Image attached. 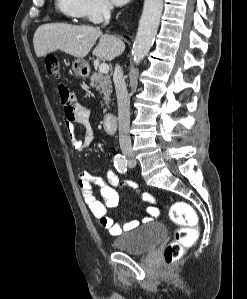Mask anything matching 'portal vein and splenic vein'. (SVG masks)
Masks as SVG:
<instances>
[{"instance_id":"obj_1","label":"portal vein and splenic vein","mask_w":247,"mask_h":299,"mask_svg":"<svg viewBox=\"0 0 247 299\" xmlns=\"http://www.w3.org/2000/svg\"><path fill=\"white\" fill-rule=\"evenodd\" d=\"M99 72L103 74H107L109 72V66L106 63H101L99 65Z\"/></svg>"}]
</instances>
